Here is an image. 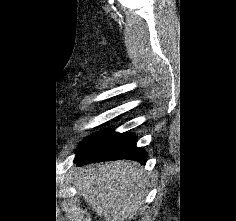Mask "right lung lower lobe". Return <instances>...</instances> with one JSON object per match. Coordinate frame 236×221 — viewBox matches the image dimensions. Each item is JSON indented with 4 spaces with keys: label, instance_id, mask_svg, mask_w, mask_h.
I'll list each match as a JSON object with an SVG mask.
<instances>
[{
    "label": "right lung lower lobe",
    "instance_id": "right-lung-lower-lobe-1",
    "mask_svg": "<svg viewBox=\"0 0 236 221\" xmlns=\"http://www.w3.org/2000/svg\"><path fill=\"white\" fill-rule=\"evenodd\" d=\"M136 137L127 133L104 131L89 138L77 152L78 166L97 161L131 159L145 163L146 152L136 146Z\"/></svg>",
    "mask_w": 236,
    "mask_h": 221
}]
</instances>
